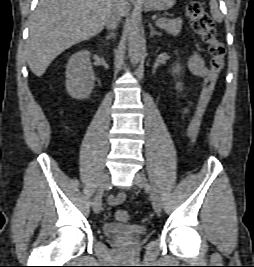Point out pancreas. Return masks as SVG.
Listing matches in <instances>:
<instances>
[{
    "label": "pancreas",
    "mask_w": 254,
    "mask_h": 267,
    "mask_svg": "<svg viewBox=\"0 0 254 267\" xmlns=\"http://www.w3.org/2000/svg\"><path fill=\"white\" fill-rule=\"evenodd\" d=\"M161 29L165 30L167 33L176 36L180 33L182 29V19H167L164 23L158 25Z\"/></svg>",
    "instance_id": "pancreas-1"
}]
</instances>
